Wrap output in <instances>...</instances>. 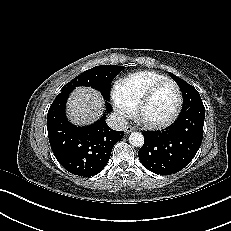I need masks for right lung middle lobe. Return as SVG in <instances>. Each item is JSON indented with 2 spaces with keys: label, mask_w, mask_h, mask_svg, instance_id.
I'll list each match as a JSON object with an SVG mask.
<instances>
[{
  "label": "right lung middle lobe",
  "mask_w": 231,
  "mask_h": 231,
  "mask_svg": "<svg viewBox=\"0 0 231 231\" xmlns=\"http://www.w3.org/2000/svg\"><path fill=\"white\" fill-rule=\"evenodd\" d=\"M123 69V66L116 65L96 66L75 77L62 89L73 90L78 86H90L101 92L104 99L108 101L111 82Z\"/></svg>",
  "instance_id": "1"
}]
</instances>
